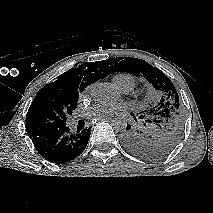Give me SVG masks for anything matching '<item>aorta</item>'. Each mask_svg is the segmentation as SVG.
Instances as JSON below:
<instances>
[{
	"label": "aorta",
	"instance_id": "aorta-1",
	"mask_svg": "<svg viewBox=\"0 0 213 213\" xmlns=\"http://www.w3.org/2000/svg\"><path fill=\"white\" fill-rule=\"evenodd\" d=\"M91 96L100 103H112L118 100L119 92L107 83H97L91 88ZM112 126L117 131H124L127 123L124 119L116 118Z\"/></svg>",
	"mask_w": 213,
	"mask_h": 213
}]
</instances>
